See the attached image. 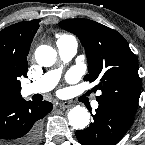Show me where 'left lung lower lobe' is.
<instances>
[{
  "instance_id": "left-lung-lower-lobe-1",
  "label": "left lung lower lobe",
  "mask_w": 145,
  "mask_h": 145,
  "mask_svg": "<svg viewBox=\"0 0 145 145\" xmlns=\"http://www.w3.org/2000/svg\"><path fill=\"white\" fill-rule=\"evenodd\" d=\"M93 118L94 122L88 128L76 131V137L82 145H115L134 121V115L100 104Z\"/></svg>"
}]
</instances>
